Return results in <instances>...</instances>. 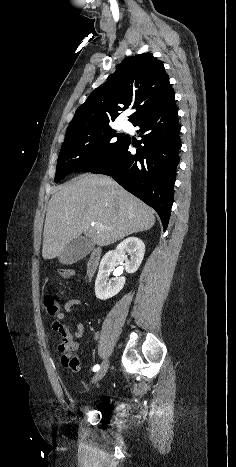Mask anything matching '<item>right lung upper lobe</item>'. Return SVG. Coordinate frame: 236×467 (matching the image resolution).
<instances>
[{
	"mask_svg": "<svg viewBox=\"0 0 236 467\" xmlns=\"http://www.w3.org/2000/svg\"><path fill=\"white\" fill-rule=\"evenodd\" d=\"M174 99L164 65L151 53L126 58L115 75L99 86L78 108L66 135L110 126L120 111L134 103L133 124Z\"/></svg>",
	"mask_w": 236,
	"mask_h": 467,
	"instance_id": "right-lung-upper-lobe-1",
	"label": "right lung upper lobe"
}]
</instances>
